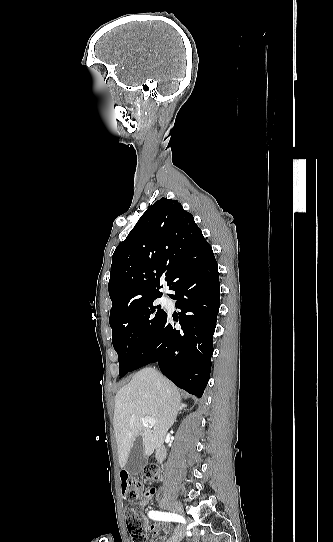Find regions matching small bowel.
Here are the masks:
<instances>
[{"label":"small bowel","instance_id":"c3829d8e","mask_svg":"<svg viewBox=\"0 0 333 542\" xmlns=\"http://www.w3.org/2000/svg\"><path fill=\"white\" fill-rule=\"evenodd\" d=\"M119 479L120 480H125L126 479V473L125 472L120 473L119 474ZM155 495H156L155 488L146 489L145 492H144L143 499L141 501H139V503H138L139 506L140 507H147L149 505V503L153 500ZM141 516H142L145 528L148 529L151 532H154V533H157V532H160V531L166 532L170 528L168 523L150 524L149 523V518L147 516H144L142 514H141ZM183 535H184L183 528L182 527H176L173 530L172 536L170 538L164 539L163 542H177L183 537Z\"/></svg>","mask_w":333,"mask_h":542}]
</instances>
